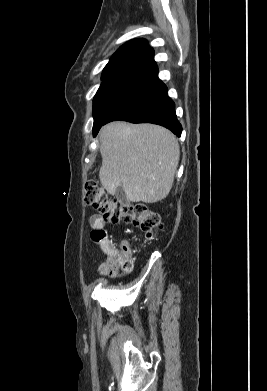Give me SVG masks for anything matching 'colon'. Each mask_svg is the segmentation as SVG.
Instances as JSON below:
<instances>
[{
	"label": "colon",
	"instance_id": "1",
	"mask_svg": "<svg viewBox=\"0 0 267 391\" xmlns=\"http://www.w3.org/2000/svg\"><path fill=\"white\" fill-rule=\"evenodd\" d=\"M84 201L95 208L110 223H130L138 228L147 238H152L161 230L160 216L148 206L138 203L128 206L108 195L105 188L97 181H89L85 185ZM106 237L105 231L99 229L92 233L95 242ZM115 255L118 266L125 271L132 267V257L126 243H123Z\"/></svg>",
	"mask_w": 267,
	"mask_h": 391
}]
</instances>
